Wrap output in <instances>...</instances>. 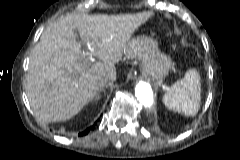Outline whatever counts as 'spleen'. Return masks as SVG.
<instances>
[{"instance_id":"3e777b00","label":"spleen","mask_w":240,"mask_h":160,"mask_svg":"<svg viewBox=\"0 0 240 160\" xmlns=\"http://www.w3.org/2000/svg\"><path fill=\"white\" fill-rule=\"evenodd\" d=\"M200 76L195 69L174 83L163 97L165 106L179 113L193 116L200 107Z\"/></svg>"}]
</instances>
